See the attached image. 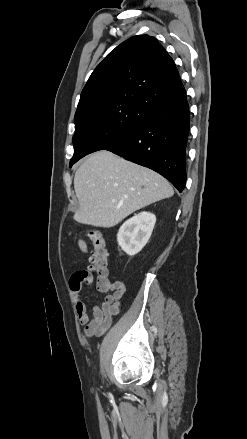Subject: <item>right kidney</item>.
<instances>
[{
    "instance_id": "ca27d5eb",
    "label": "right kidney",
    "mask_w": 247,
    "mask_h": 439,
    "mask_svg": "<svg viewBox=\"0 0 247 439\" xmlns=\"http://www.w3.org/2000/svg\"><path fill=\"white\" fill-rule=\"evenodd\" d=\"M156 216L150 212H141L120 227L117 234L118 245L129 256L139 253L148 242Z\"/></svg>"
}]
</instances>
